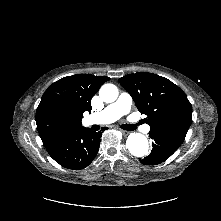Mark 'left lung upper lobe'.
Instances as JSON below:
<instances>
[{
	"label": "left lung upper lobe",
	"instance_id": "left-lung-upper-lobe-1",
	"mask_svg": "<svg viewBox=\"0 0 221 221\" xmlns=\"http://www.w3.org/2000/svg\"><path fill=\"white\" fill-rule=\"evenodd\" d=\"M147 115L150 132H158L183 142L192 122V106L186 94L173 82L153 73L138 72L119 79Z\"/></svg>",
	"mask_w": 221,
	"mask_h": 221
}]
</instances>
